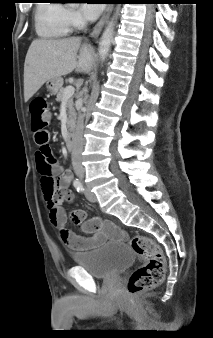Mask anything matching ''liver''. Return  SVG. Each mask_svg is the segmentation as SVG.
<instances>
[{
  "mask_svg": "<svg viewBox=\"0 0 213 338\" xmlns=\"http://www.w3.org/2000/svg\"><path fill=\"white\" fill-rule=\"evenodd\" d=\"M92 66L93 48L87 43L81 44V38L34 40L24 64L25 102L48 80L74 70L77 73H89Z\"/></svg>",
  "mask_w": 213,
  "mask_h": 338,
  "instance_id": "1",
  "label": "liver"
}]
</instances>
